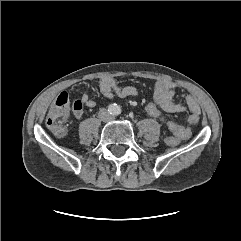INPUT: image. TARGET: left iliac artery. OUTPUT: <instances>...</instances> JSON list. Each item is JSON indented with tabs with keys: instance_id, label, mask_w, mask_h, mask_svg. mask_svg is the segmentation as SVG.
<instances>
[{
	"instance_id": "1",
	"label": "left iliac artery",
	"mask_w": 241,
	"mask_h": 241,
	"mask_svg": "<svg viewBox=\"0 0 241 241\" xmlns=\"http://www.w3.org/2000/svg\"><path fill=\"white\" fill-rule=\"evenodd\" d=\"M121 113V108L119 106H116L115 108V114L119 115Z\"/></svg>"
}]
</instances>
